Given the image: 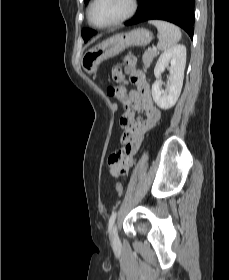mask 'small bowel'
<instances>
[{
    "label": "small bowel",
    "instance_id": "1",
    "mask_svg": "<svg viewBox=\"0 0 229 280\" xmlns=\"http://www.w3.org/2000/svg\"><path fill=\"white\" fill-rule=\"evenodd\" d=\"M112 75L117 82L122 83L124 86L128 84V81L123 77L120 67H115ZM135 83L136 89L131 90L129 93L124 86L108 87L107 89L109 95L114 96L129 110L125 114L131 116L132 123L124 129L121 135V142L130 143L132 153L139 146L143 135L155 126L162 114L161 109L154 104L148 81L140 77ZM138 113H143L145 117L137 120L136 116ZM111 173L117 175L114 171H111Z\"/></svg>",
    "mask_w": 229,
    "mask_h": 280
}]
</instances>
